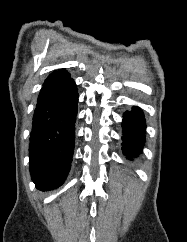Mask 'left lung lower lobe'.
I'll return each mask as SVG.
<instances>
[{
    "label": "left lung lower lobe",
    "instance_id": "left-lung-lower-lobe-1",
    "mask_svg": "<svg viewBox=\"0 0 187 242\" xmlns=\"http://www.w3.org/2000/svg\"><path fill=\"white\" fill-rule=\"evenodd\" d=\"M123 117L121 124L123 128L122 150L129 159H132L142 152L146 123L141 109L136 106H133L131 111H126Z\"/></svg>",
    "mask_w": 187,
    "mask_h": 242
}]
</instances>
